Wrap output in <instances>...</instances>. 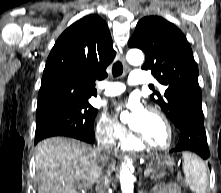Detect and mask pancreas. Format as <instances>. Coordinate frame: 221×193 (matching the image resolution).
Instances as JSON below:
<instances>
[{"label": "pancreas", "instance_id": "1", "mask_svg": "<svg viewBox=\"0 0 221 193\" xmlns=\"http://www.w3.org/2000/svg\"><path fill=\"white\" fill-rule=\"evenodd\" d=\"M149 170H150V172H152L151 179H153V180L160 179L165 175L164 169L158 170L156 168L150 167Z\"/></svg>", "mask_w": 221, "mask_h": 193}]
</instances>
